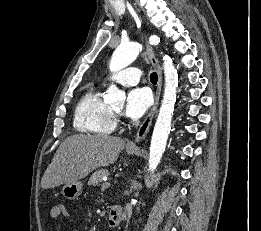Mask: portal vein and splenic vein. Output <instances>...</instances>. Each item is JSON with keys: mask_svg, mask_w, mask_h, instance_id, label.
I'll return each instance as SVG.
<instances>
[{"mask_svg": "<svg viewBox=\"0 0 261 231\" xmlns=\"http://www.w3.org/2000/svg\"><path fill=\"white\" fill-rule=\"evenodd\" d=\"M105 182L102 184V190L109 188L110 187V182H107V179H104Z\"/></svg>", "mask_w": 261, "mask_h": 231, "instance_id": "18ae733b", "label": "portal vein and splenic vein"}]
</instances>
